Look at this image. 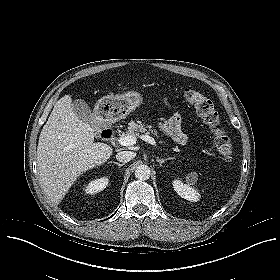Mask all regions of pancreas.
Listing matches in <instances>:
<instances>
[{
  "label": "pancreas",
  "mask_w": 280,
  "mask_h": 280,
  "mask_svg": "<svg viewBox=\"0 0 280 280\" xmlns=\"http://www.w3.org/2000/svg\"><path fill=\"white\" fill-rule=\"evenodd\" d=\"M127 135H133L135 137H139L140 133L149 134L152 133L156 137H158V132L155 129H152L151 125H147L142 123L141 121H131L128 126Z\"/></svg>",
  "instance_id": "cf45deb5"
}]
</instances>
